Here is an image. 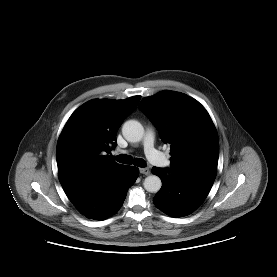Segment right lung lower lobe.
<instances>
[{"label": "right lung lower lobe", "mask_w": 277, "mask_h": 277, "mask_svg": "<svg viewBox=\"0 0 277 277\" xmlns=\"http://www.w3.org/2000/svg\"><path fill=\"white\" fill-rule=\"evenodd\" d=\"M138 175L137 167L122 165L91 188L68 198L87 218L104 220L120 209Z\"/></svg>", "instance_id": "obj_1"}]
</instances>
